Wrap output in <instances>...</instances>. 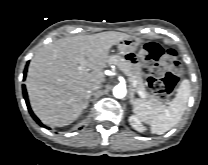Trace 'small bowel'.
Listing matches in <instances>:
<instances>
[{
  "mask_svg": "<svg viewBox=\"0 0 208 165\" xmlns=\"http://www.w3.org/2000/svg\"><path fill=\"white\" fill-rule=\"evenodd\" d=\"M123 59L129 67L135 71H138L142 68L143 62L138 58L133 52L126 51L123 54Z\"/></svg>",
  "mask_w": 208,
  "mask_h": 165,
  "instance_id": "obj_1",
  "label": "small bowel"
}]
</instances>
